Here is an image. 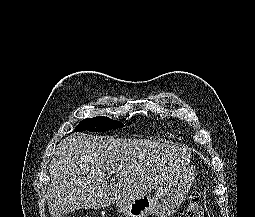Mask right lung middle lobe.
Masks as SVG:
<instances>
[{"label": "right lung middle lobe", "instance_id": "1", "mask_svg": "<svg viewBox=\"0 0 255 217\" xmlns=\"http://www.w3.org/2000/svg\"><path fill=\"white\" fill-rule=\"evenodd\" d=\"M124 125L120 121L112 120L108 117H93L83 119L75 128V131H90L102 132L117 128H122Z\"/></svg>", "mask_w": 255, "mask_h": 217}]
</instances>
